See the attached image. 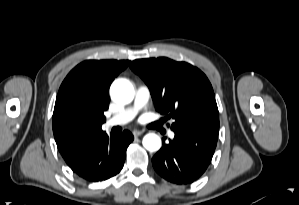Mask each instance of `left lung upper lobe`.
Returning a JSON list of instances; mask_svg holds the SVG:
<instances>
[{"instance_id":"1","label":"left lung upper lobe","mask_w":299,"mask_h":205,"mask_svg":"<svg viewBox=\"0 0 299 205\" xmlns=\"http://www.w3.org/2000/svg\"><path fill=\"white\" fill-rule=\"evenodd\" d=\"M130 67L149 87L157 111L173 118V131L219 127L213 88L198 68L165 57L134 60Z\"/></svg>"}]
</instances>
